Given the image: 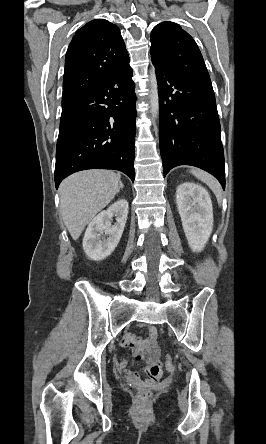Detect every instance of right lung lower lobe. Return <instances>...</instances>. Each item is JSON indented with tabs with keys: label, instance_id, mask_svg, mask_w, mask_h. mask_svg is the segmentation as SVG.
<instances>
[{
	"label": "right lung lower lobe",
	"instance_id": "98d812e1",
	"mask_svg": "<svg viewBox=\"0 0 266 444\" xmlns=\"http://www.w3.org/2000/svg\"><path fill=\"white\" fill-rule=\"evenodd\" d=\"M129 60L62 108L55 185L86 169H114L134 181L135 84Z\"/></svg>",
	"mask_w": 266,
	"mask_h": 444
}]
</instances>
